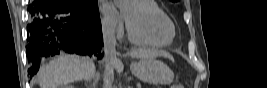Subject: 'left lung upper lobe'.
Masks as SVG:
<instances>
[{"mask_svg":"<svg viewBox=\"0 0 267 88\" xmlns=\"http://www.w3.org/2000/svg\"><path fill=\"white\" fill-rule=\"evenodd\" d=\"M172 2H178V0H171Z\"/></svg>","mask_w":267,"mask_h":88,"instance_id":"5c2ea615","label":"left lung upper lobe"}]
</instances>
